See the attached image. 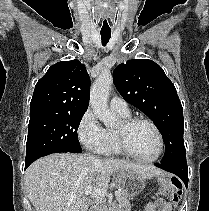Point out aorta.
Masks as SVG:
<instances>
[{"instance_id": "1", "label": "aorta", "mask_w": 209, "mask_h": 211, "mask_svg": "<svg viewBox=\"0 0 209 211\" xmlns=\"http://www.w3.org/2000/svg\"><path fill=\"white\" fill-rule=\"evenodd\" d=\"M113 78L110 73H103L95 80L90 92V105L95 116L104 123L106 127L116 124L117 118L108 108V97Z\"/></svg>"}]
</instances>
